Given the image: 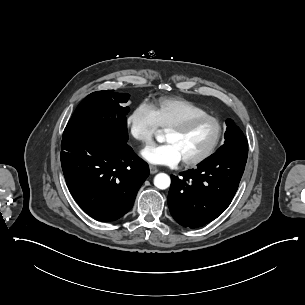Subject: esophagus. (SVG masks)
I'll list each match as a JSON object with an SVG mask.
<instances>
[{
    "mask_svg": "<svg viewBox=\"0 0 305 305\" xmlns=\"http://www.w3.org/2000/svg\"><path fill=\"white\" fill-rule=\"evenodd\" d=\"M149 170H150L151 174H155V173L158 172V169L155 166H153V165L149 166Z\"/></svg>",
    "mask_w": 305,
    "mask_h": 305,
    "instance_id": "1",
    "label": "esophagus"
}]
</instances>
